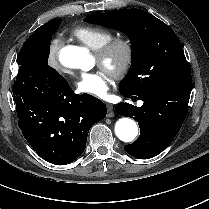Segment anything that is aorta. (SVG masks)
Here are the masks:
<instances>
[{"mask_svg":"<svg viewBox=\"0 0 209 209\" xmlns=\"http://www.w3.org/2000/svg\"><path fill=\"white\" fill-rule=\"evenodd\" d=\"M59 60L65 67L84 71L92 69L94 65L88 49L80 46H65L59 53ZM115 134L121 141H133L138 134L136 122L127 117L119 119L115 124Z\"/></svg>","mask_w":209,"mask_h":209,"instance_id":"aorta-1","label":"aorta"}]
</instances>
